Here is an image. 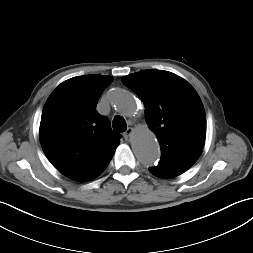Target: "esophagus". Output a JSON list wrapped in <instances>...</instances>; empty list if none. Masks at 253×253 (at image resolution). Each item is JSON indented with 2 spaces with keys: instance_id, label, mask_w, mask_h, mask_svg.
Returning <instances> with one entry per match:
<instances>
[{
  "instance_id": "esophagus-1",
  "label": "esophagus",
  "mask_w": 253,
  "mask_h": 253,
  "mask_svg": "<svg viewBox=\"0 0 253 253\" xmlns=\"http://www.w3.org/2000/svg\"><path fill=\"white\" fill-rule=\"evenodd\" d=\"M132 134H133V128L128 127L126 132H124L123 136L126 140H128Z\"/></svg>"
}]
</instances>
